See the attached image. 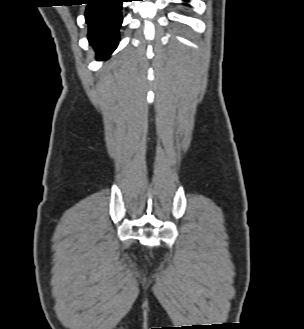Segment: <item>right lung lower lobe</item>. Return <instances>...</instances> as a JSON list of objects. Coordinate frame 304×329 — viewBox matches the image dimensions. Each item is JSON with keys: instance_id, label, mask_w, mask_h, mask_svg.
Returning a JSON list of instances; mask_svg holds the SVG:
<instances>
[{"instance_id": "obj_1", "label": "right lung lower lobe", "mask_w": 304, "mask_h": 329, "mask_svg": "<svg viewBox=\"0 0 304 329\" xmlns=\"http://www.w3.org/2000/svg\"><path fill=\"white\" fill-rule=\"evenodd\" d=\"M85 12L88 40L98 60L108 58L119 41L122 2L125 0H87Z\"/></svg>"}]
</instances>
